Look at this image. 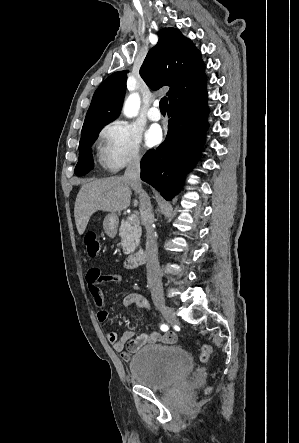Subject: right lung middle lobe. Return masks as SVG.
I'll list each match as a JSON object with an SVG mask.
<instances>
[{
	"label": "right lung middle lobe",
	"mask_w": 299,
	"mask_h": 443,
	"mask_svg": "<svg viewBox=\"0 0 299 443\" xmlns=\"http://www.w3.org/2000/svg\"><path fill=\"white\" fill-rule=\"evenodd\" d=\"M103 127L93 129L82 135L79 143V161L75 167V174L83 176L87 174L94 167L93 156L91 153V146L96 140L99 132Z\"/></svg>",
	"instance_id": "right-lung-middle-lobe-1"
}]
</instances>
